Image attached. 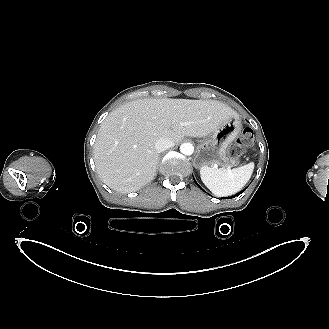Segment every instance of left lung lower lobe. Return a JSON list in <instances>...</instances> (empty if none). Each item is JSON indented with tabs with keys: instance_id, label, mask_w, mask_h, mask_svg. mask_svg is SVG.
I'll return each instance as SVG.
<instances>
[{
	"instance_id": "1",
	"label": "left lung lower lobe",
	"mask_w": 329,
	"mask_h": 329,
	"mask_svg": "<svg viewBox=\"0 0 329 329\" xmlns=\"http://www.w3.org/2000/svg\"><path fill=\"white\" fill-rule=\"evenodd\" d=\"M195 183H196V182H195ZM196 184H197V183H196ZM197 186L200 188V186H199L198 184H197ZM200 189H201V188H200ZM201 190H202V189H201ZM243 191H244V190H243ZM243 191H242V192H243ZM240 193H241V192H240ZM240 193H238L237 195H239Z\"/></svg>"
}]
</instances>
